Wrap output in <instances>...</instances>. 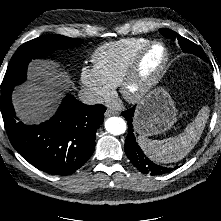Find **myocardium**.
<instances>
[{
	"label": "myocardium",
	"mask_w": 221,
	"mask_h": 221,
	"mask_svg": "<svg viewBox=\"0 0 221 221\" xmlns=\"http://www.w3.org/2000/svg\"><path fill=\"white\" fill-rule=\"evenodd\" d=\"M155 46L162 47L164 51L163 60L157 71L151 78H149L145 82L139 83L140 69L143 59L145 58L147 53ZM169 59V50L167 46L161 41H150L144 47H142L133 57L118 85L122 97L130 103H140L141 101H143L160 83L166 72ZM136 85L138 86L136 89H134V86Z\"/></svg>",
	"instance_id": "1"
}]
</instances>
